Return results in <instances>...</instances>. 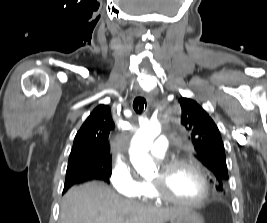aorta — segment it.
<instances>
[{
    "label": "aorta",
    "mask_w": 267,
    "mask_h": 223,
    "mask_svg": "<svg viewBox=\"0 0 267 223\" xmlns=\"http://www.w3.org/2000/svg\"><path fill=\"white\" fill-rule=\"evenodd\" d=\"M161 126L158 122H146L136 132L129 150L130 160L136 171L142 176H151L156 166L148 155L153 140L160 134Z\"/></svg>",
    "instance_id": "aorta-1"
}]
</instances>
